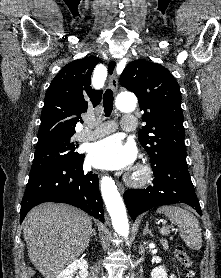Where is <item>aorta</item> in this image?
I'll list each match as a JSON object with an SVG mask.
<instances>
[{
    "instance_id": "1",
    "label": "aorta",
    "mask_w": 221,
    "mask_h": 278,
    "mask_svg": "<svg viewBox=\"0 0 221 278\" xmlns=\"http://www.w3.org/2000/svg\"><path fill=\"white\" fill-rule=\"evenodd\" d=\"M136 100L134 97L121 95L117 99L119 110L126 112L134 109ZM101 193L107 211L111 217L115 232L124 238L129 235V222L126 214L124 202L120 196L117 186L111 177L104 176L101 179Z\"/></svg>"
}]
</instances>
